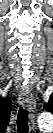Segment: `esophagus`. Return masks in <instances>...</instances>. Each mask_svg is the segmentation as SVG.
<instances>
[{"label":"esophagus","mask_w":53,"mask_h":133,"mask_svg":"<svg viewBox=\"0 0 53 133\" xmlns=\"http://www.w3.org/2000/svg\"><path fill=\"white\" fill-rule=\"evenodd\" d=\"M21 105L24 108L31 110L30 118H31V121L33 122L34 115L32 112H33V108L35 107V99L29 90H25L21 92Z\"/></svg>","instance_id":"obj_1"}]
</instances>
